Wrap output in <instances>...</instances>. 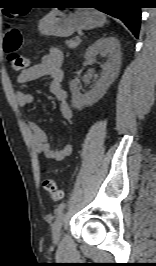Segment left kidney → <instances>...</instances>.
Returning <instances> with one entry per match:
<instances>
[{
    "label": "left kidney",
    "instance_id": "5707ae66",
    "mask_svg": "<svg viewBox=\"0 0 156 266\" xmlns=\"http://www.w3.org/2000/svg\"><path fill=\"white\" fill-rule=\"evenodd\" d=\"M106 56L107 61L101 66L100 79L88 92L80 93L78 81L70 82L72 93V106L76 109H83L99 101L110 85L114 82L121 64L120 43L116 37L104 36L94 42L85 52V59L93 61L97 55Z\"/></svg>",
    "mask_w": 156,
    "mask_h": 266
}]
</instances>
